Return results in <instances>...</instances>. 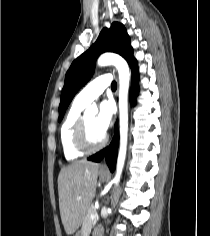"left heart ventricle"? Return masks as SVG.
Wrapping results in <instances>:
<instances>
[{
	"instance_id": "b2bd125f",
	"label": "left heart ventricle",
	"mask_w": 210,
	"mask_h": 236,
	"mask_svg": "<svg viewBox=\"0 0 210 236\" xmlns=\"http://www.w3.org/2000/svg\"><path fill=\"white\" fill-rule=\"evenodd\" d=\"M86 123L88 127L89 138L93 143L99 142L103 137V133L100 132L94 124L95 116L93 114L85 115Z\"/></svg>"
}]
</instances>
